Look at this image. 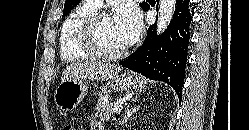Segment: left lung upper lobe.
Returning a JSON list of instances; mask_svg holds the SVG:
<instances>
[{"label": "left lung upper lobe", "instance_id": "1", "mask_svg": "<svg viewBox=\"0 0 249 130\" xmlns=\"http://www.w3.org/2000/svg\"><path fill=\"white\" fill-rule=\"evenodd\" d=\"M80 2V0H66L64 4V10H63V16H66L77 4ZM141 8L144 11H147L149 8L148 3L143 2L140 4Z\"/></svg>", "mask_w": 249, "mask_h": 130}]
</instances>
